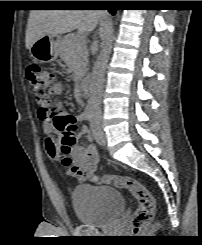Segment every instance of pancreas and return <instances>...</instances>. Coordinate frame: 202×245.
I'll list each match as a JSON object with an SVG mask.
<instances>
[{
    "mask_svg": "<svg viewBox=\"0 0 202 245\" xmlns=\"http://www.w3.org/2000/svg\"><path fill=\"white\" fill-rule=\"evenodd\" d=\"M59 54L75 75L79 78L85 75L88 54L86 44L82 38L76 34L67 35L61 42Z\"/></svg>",
    "mask_w": 202,
    "mask_h": 245,
    "instance_id": "pancreas-1",
    "label": "pancreas"
}]
</instances>
